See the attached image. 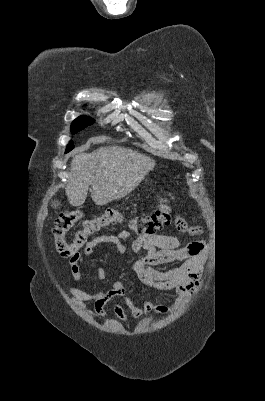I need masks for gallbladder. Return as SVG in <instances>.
I'll return each instance as SVG.
<instances>
[{
  "label": "gallbladder",
  "instance_id": "1",
  "mask_svg": "<svg viewBox=\"0 0 265 401\" xmlns=\"http://www.w3.org/2000/svg\"><path fill=\"white\" fill-rule=\"evenodd\" d=\"M51 207H53V209H58V207H60L59 201H51Z\"/></svg>",
  "mask_w": 265,
  "mask_h": 401
}]
</instances>
